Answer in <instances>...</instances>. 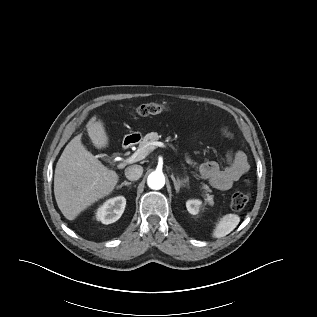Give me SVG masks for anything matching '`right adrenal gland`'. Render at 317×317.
<instances>
[{
  "label": "right adrenal gland",
  "mask_w": 317,
  "mask_h": 317,
  "mask_svg": "<svg viewBox=\"0 0 317 317\" xmlns=\"http://www.w3.org/2000/svg\"><path fill=\"white\" fill-rule=\"evenodd\" d=\"M132 183L128 182V181H124L123 183H121V185L117 186V189L122 188L123 186H130Z\"/></svg>",
  "instance_id": "obj_1"
}]
</instances>
